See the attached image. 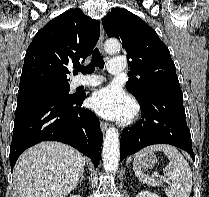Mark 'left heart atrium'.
Wrapping results in <instances>:
<instances>
[{
  "instance_id": "1",
  "label": "left heart atrium",
  "mask_w": 209,
  "mask_h": 197,
  "mask_svg": "<svg viewBox=\"0 0 209 197\" xmlns=\"http://www.w3.org/2000/svg\"><path fill=\"white\" fill-rule=\"evenodd\" d=\"M90 107L102 117L111 120H127L135 110L132 100L115 86L94 92L90 98Z\"/></svg>"
}]
</instances>
